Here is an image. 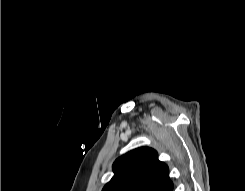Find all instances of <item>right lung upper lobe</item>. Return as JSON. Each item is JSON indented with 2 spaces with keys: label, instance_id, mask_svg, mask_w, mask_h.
<instances>
[{
  "label": "right lung upper lobe",
  "instance_id": "obj_1",
  "mask_svg": "<svg viewBox=\"0 0 245 191\" xmlns=\"http://www.w3.org/2000/svg\"><path fill=\"white\" fill-rule=\"evenodd\" d=\"M113 171L102 191H173L169 168L152 148H137L119 157Z\"/></svg>",
  "mask_w": 245,
  "mask_h": 191
}]
</instances>
